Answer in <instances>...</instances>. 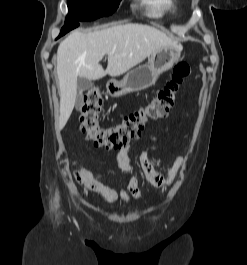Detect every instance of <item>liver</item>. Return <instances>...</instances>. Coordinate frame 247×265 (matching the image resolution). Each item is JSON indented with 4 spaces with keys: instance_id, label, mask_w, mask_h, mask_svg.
<instances>
[{
    "instance_id": "1",
    "label": "liver",
    "mask_w": 247,
    "mask_h": 265,
    "mask_svg": "<svg viewBox=\"0 0 247 265\" xmlns=\"http://www.w3.org/2000/svg\"><path fill=\"white\" fill-rule=\"evenodd\" d=\"M164 46H180L160 30L149 25L127 23L91 33L72 32L57 50L60 118L62 129L75 105L79 77L98 80L107 74L120 76ZM108 55L106 70L100 65Z\"/></svg>"
}]
</instances>
